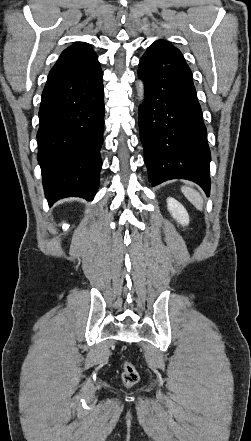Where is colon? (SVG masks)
<instances>
[{
    "label": "colon",
    "mask_w": 251,
    "mask_h": 441,
    "mask_svg": "<svg viewBox=\"0 0 251 441\" xmlns=\"http://www.w3.org/2000/svg\"><path fill=\"white\" fill-rule=\"evenodd\" d=\"M122 382L126 387L134 386L139 380V374L135 366L129 362L124 361L122 364Z\"/></svg>",
    "instance_id": "5ec220e1"
}]
</instances>
